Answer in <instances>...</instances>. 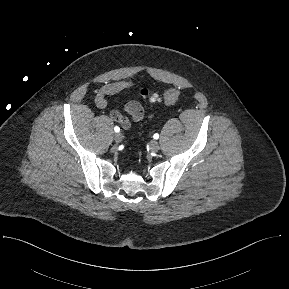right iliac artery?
<instances>
[{
    "mask_svg": "<svg viewBox=\"0 0 289 289\" xmlns=\"http://www.w3.org/2000/svg\"><path fill=\"white\" fill-rule=\"evenodd\" d=\"M114 131L115 132H119L120 131V128L118 126L114 127Z\"/></svg>",
    "mask_w": 289,
    "mask_h": 289,
    "instance_id": "82829eb1",
    "label": "right iliac artery"
}]
</instances>
